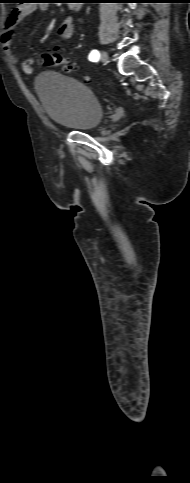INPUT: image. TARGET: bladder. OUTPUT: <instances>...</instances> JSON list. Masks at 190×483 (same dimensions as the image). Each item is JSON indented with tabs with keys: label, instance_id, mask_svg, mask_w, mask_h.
<instances>
[{
	"label": "bladder",
	"instance_id": "31cf9c89",
	"mask_svg": "<svg viewBox=\"0 0 190 483\" xmlns=\"http://www.w3.org/2000/svg\"><path fill=\"white\" fill-rule=\"evenodd\" d=\"M35 91L52 122L72 131L97 128L103 108L94 93L83 83L53 71L41 73Z\"/></svg>",
	"mask_w": 190,
	"mask_h": 483
}]
</instances>
